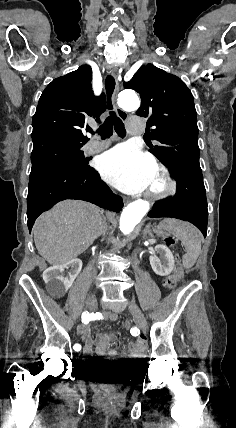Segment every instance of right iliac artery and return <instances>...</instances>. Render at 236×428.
Masks as SVG:
<instances>
[{
  "label": "right iliac artery",
  "instance_id": "1",
  "mask_svg": "<svg viewBox=\"0 0 236 428\" xmlns=\"http://www.w3.org/2000/svg\"><path fill=\"white\" fill-rule=\"evenodd\" d=\"M81 318H82V323L88 324L89 321L91 320V315L89 314V312H83ZM73 349L75 351H80L81 350V345L80 344H75L73 346Z\"/></svg>",
  "mask_w": 236,
  "mask_h": 428
}]
</instances>
